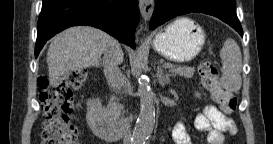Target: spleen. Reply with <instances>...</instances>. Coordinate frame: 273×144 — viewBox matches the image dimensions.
Segmentation results:
<instances>
[{"label":"spleen","instance_id":"1","mask_svg":"<svg viewBox=\"0 0 273 144\" xmlns=\"http://www.w3.org/2000/svg\"><path fill=\"white\" fill-rule=\"evenodd\" d=\"M222 59V77L223 86L229 91L237 92L241 88V69L242 57L241 50L235 40L228 38L225 40L220 51Z\"/></svg>","mask_w":273,"mask_h":144}]
</instances>
